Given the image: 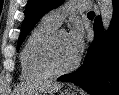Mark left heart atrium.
<instances>
[{
    "mask_svg": "<svg viewBox=\"0 0 119 95\" xmlns=\"http://www.w3.org/2000/svg\"><path fill=\"white\" fill-rule=\"evenodd\" d=\"M67 39L70 48L78 56L84 45V30L80 23H75L72 26L67 33Z\"/></svg>",
    "mask_w": 119,
    "mask_h": 95,
    "instance_id": "obj_1",
    "label": "left heart atrium"
}]
</instances>
